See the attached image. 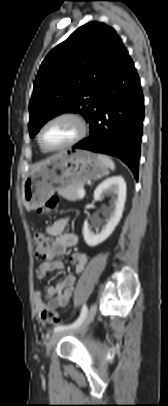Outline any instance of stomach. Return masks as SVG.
Masks as SVG:
<instances>
[{"mask_svg":"<svg viewBox=\"0 0 168 406\" xmlns=\"http://www.w3.org/2000/svg\"><path fill=\"white\" fill-rule=\"evenodd\" d=\"M109 173L97 154L86 150H68L33 170L22 182V202L29 209L42 207L55 191L84 185Z\"/></svg>","mask_w":168,"mask_h":406,"instance_id":"0dacf381","label":"stomach"}]
</instances>
